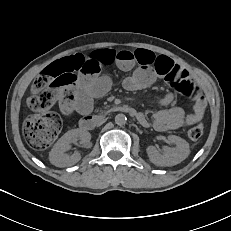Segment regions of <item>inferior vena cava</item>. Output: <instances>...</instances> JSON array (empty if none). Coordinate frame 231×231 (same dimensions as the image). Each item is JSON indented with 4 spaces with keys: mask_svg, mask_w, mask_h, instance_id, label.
Instances as JSON below:
<instances>
[{
    "mask_svg": "<svg viewBox=\"0 0 231 231\" xmlns=\"http://www.w3.org/2000/svg\"><path fill=\"white\" fill-rule=\"evenodd\" d=\"M111 118L109 116H105L104 118H101L100 121L97 123V126L102 128L104 124L109 121Z\"/></svg>",
    "mask_w": 231,
    "mask_h": 231,
    "instance_id": "obj_1",
    "label": "inferior vena cava"
}]
</instances>
